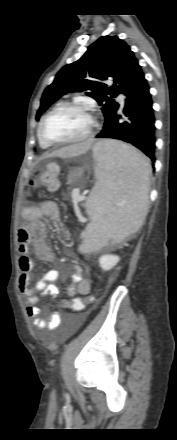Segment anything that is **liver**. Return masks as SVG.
I'll list each match as a JSON object with an SVG mask.
<instances>
[{
  "mask_svg": "<svg viewBox=\"0 0 177 440\" xmlns=\"http://www.w3.org/2000/svg\"><path fill=\"white\" fill-rule=\"evenodd\" d=\"M92 144H93V141L88 140V141H85L82 143L69 145V146L63 147L53 153H50L47 156L48 157L58 156V157H62V158L76 157V156H79V155L86 153L90 149Z\"/></svg>",
  "mask_w": 177,
  "mask_h": 440,
  "instance_id": "1",
  "label": "liver"
}]
</instances>
